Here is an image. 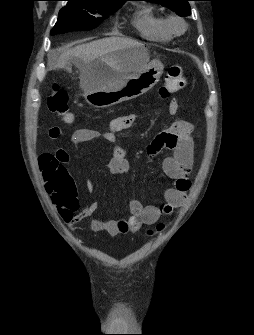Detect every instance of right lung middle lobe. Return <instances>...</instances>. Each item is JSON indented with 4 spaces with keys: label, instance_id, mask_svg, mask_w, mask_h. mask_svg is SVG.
Segmentation results:
<instances>
[{
    "label": "right lung middle lobe",
    "instance_id": "1",
    "mask_svg": "<svg viewBox=\"0 0 254 335\" xmlns=\"http://www.w3.org/2000/svg\"><path fill=\"white\" fill-rule=\"evenodd\" d=\"M67 6L59 12V17L51 35L77 30H91L123 4L101 3L87 0H67Z\"/></svg>",
    "mask_w": 254,
    "mask_h": 335
}]
</instances>
